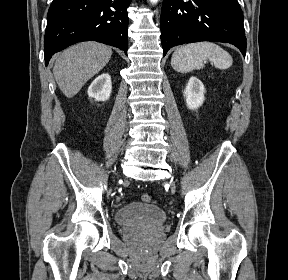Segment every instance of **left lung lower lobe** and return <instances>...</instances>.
<instances>
[{"instance_id":"obj_1","label":"left lung lower lobe","mask_w":288,"mask_h":280,"mask_svg":"<svg viewBox=\"0 0 288 280\" xmlns=\"http://www.w3.org/2000/svg\"><path fill=\"white\" fill-rule=\"evenodd\" d=\"M198 41L233 44L245 57L243 14L237 0H163V56L173 46Z\"/></svg>"}]
</instances>
